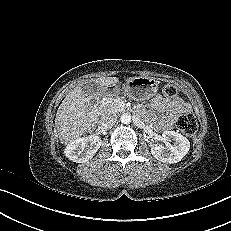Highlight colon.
<instances>
[{
  "instance_id": "obj_1",
  "label": "colon",
  "mask_w": 231,
  "mask_h": 231,
  "mask_svg": "<svg viewBox=\"0 0 231 231\" xmlns=\"http://www.w3.org/2000/svg\"><path fill=\"white\" fill-rule=\"evenodd\" d=\"M163 93L166 97H175L178 93L176 86L167 84L163 88ZM176 126L185 135L192 136L197 132L198 124L193 113L187 112L177 118Z\"/></svg>"
}]
</instances>
